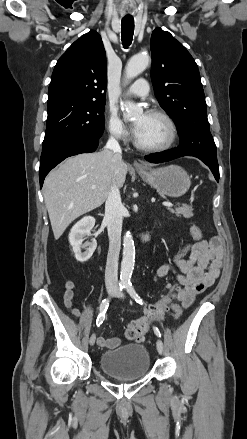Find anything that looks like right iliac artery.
Wrapping results in <instances>:
<instances>
[{
  "label": "right iliac artery",
  "mask_w": 247,
  "mask_h": 439,
  "mask_svg": "<svg viewBox=\"0 0 247 439\" xmlns=\"http://www.w3.org/2000/svg\"><path fill=\"white\" fill-rule=\"evenodd\" d=\"M125 287H126L125 284H119V291H122ZM109 301H110V299L106 298L100 304V308H99L100 309V313H99V315L97 317V320H96L97 327H99L103 323V321H104L105 313L107 311V308H108V305H109Z\"/></svg>",
  "instance_id": "obj_1"
}]
</instances>
